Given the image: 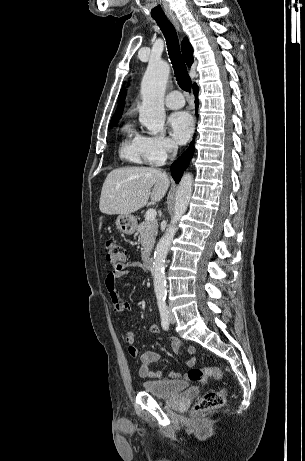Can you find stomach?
<instances>
[{"label":"stomach","instance_id":"1","mask_svg":"<svg viewBox=\"0 0 305 461\" xmlns=\"http://www.w3.org/2000/svg\"><path fill=\"white\" fill-rule=\"evenodd\" d=\"M115 223L123 234L131 235L137 229V220L133 215H119Z\"/></svg>","mask_w":305,"mask_h":461}]
</instances>
